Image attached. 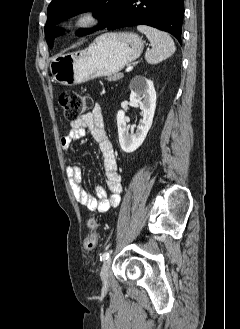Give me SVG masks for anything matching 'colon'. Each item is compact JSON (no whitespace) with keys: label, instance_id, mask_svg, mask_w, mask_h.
<instances>
[{"label":"colon","instance_id":"obj_1","mask_svg":"<svg viewBox=\"0 0 240 329\" xmlns=\"http://www.w3.org/2000/svg\"><path fill=\"white\" fill-rule=\"evenodd\" d=\"M59 104L64 110V116L68 120H76L79 115L91 107L90 96L75 91H64L59 96ZM89 233L84 239V246L91 251L97 247L98 237L96 233L97 224L95 220L88 223Z\"/></svg>","mask_w":240,"mask_h":329}]
</instances>
